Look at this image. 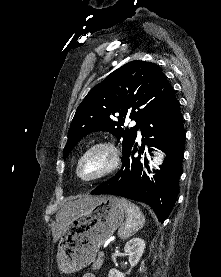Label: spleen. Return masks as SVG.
Wrapping results in <instances>:
<instances>
[{
  "label": "spleen",
  "mask_w": 221,
  "mask_h": 277,
  "mask_svg": "<svg viewBox=\"0 0 221 277\" xmlns=\"http://www.w3.org/2000/svg\"><path fill=\"white\" fill-rule=\"evenodd\" d=\"M120 202L126 212V222L120 227L118 234L121 239H126L144 226L145 217L135 204L126 199H121Z\"/></svg>",
  "instance_id": "obj_1"
}]
</instances>
